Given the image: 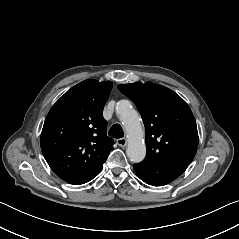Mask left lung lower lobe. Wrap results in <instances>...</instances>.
<instances>
[{"mask_svg": "<svg viewBox=\"0 0 239 239\" xmlns=\"http://www.w3.org/2000/svg\"><path fill=\"white\" fill-rule=\"evenodd\" d=\"M133 168L138 177L145 183L153 186H163L179 177L187 166L140 162L134 164Z\"/></svg>", "mask_w": 239, "mask_h": 239, "instance_id": "obj_1", "label": "left lung lower lobe"}]
</instances>
